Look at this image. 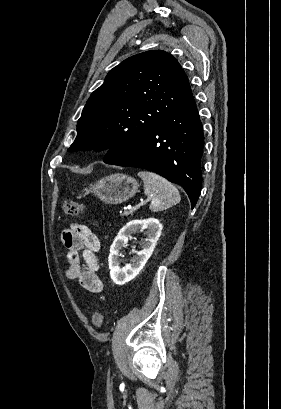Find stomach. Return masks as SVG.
Returning <instances> with one entry per match:
<instances>
[{
    "instance_id": "stomach-1",
    "label": "stomach",
    "mask_w": 281,
    "mask_h": 409,
    "mask_svg": "<svg viewBox=\"0 0 281 409\" xmlns=\"http://www.w3.org/2000/svg\"><path fill=\"white\" fill-rule=\"evenodd\" d=\"M86 192H94L104 202L109 205H119V202L129 200L136 192H139V182L128 176V174H109L97 180L95 184H90V188H85Z\"/></svg>"
}]
</instances>
